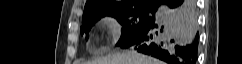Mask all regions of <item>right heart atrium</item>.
<instances>
[{
	"mask_svg": "<svg viewBox=\"0 0 242 64\" xmlns=\"http://www.w3.org/2000/svg\"><path fill=\"white\" fill-rule=\"evenodd\" d=\"M103 27L109 42H116L119 40L122 35L123 26L117 16L113 14L106 15L103 18Z\"/></svg>",
	"mask_w": 242,
	"mask_h": 64,
	"instance_id": "d8ad5b80",
	"label": "right heart atrium"
}]
</instances>
